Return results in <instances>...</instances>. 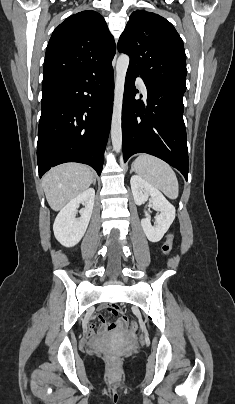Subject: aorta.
<instances>
[{
  "label": "aorta",
  "mask_w": 235,
  "mask_h": 404,
  "mask_svg": "<svg viewBox=\"0 0 235 404\" xmlns=\"http://www.w3.org/2000/svg\"><path fill=\"white\" fill-rule=\"evenodd\" d=\"M129 57L126 54H122L117 59L116 64V79L114 89V103H113V115L111 124V139L113 150L116 153L121 151L122 147V104L126 72L129 66Z\"/></svg>",
  "instance_id": "aorta-1"
}]
</instances>
